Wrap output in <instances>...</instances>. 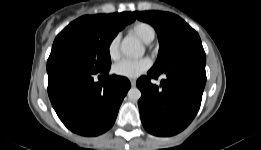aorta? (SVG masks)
<instances>
[{
    "instance_id": "obj_1",
    "label": "aorta",
    "mask_w": 261,
    "mask_h": 150,
    "mask_svg": "<svg viewBox=\"0 0 261 150\" xmlns=\"http://www.w3.org/2000/svg\"><path fill=\"white\" fill-rule=\"evenodd\" d=\"M121 52L126 57L140 58L144 55L145 49L138 40L125 38L121 43ZM127 95L131 101H138L141 97V91L137 87H132Z\"/></svg>"
}]
</instances>
